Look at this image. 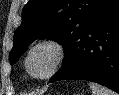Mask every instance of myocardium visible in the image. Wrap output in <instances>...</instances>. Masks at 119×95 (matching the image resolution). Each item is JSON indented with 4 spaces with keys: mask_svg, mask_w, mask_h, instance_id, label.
<instances>
[{
    "mask_svg": "<svg viewBox=\"0 0 119 95\" xmlns=\"http://www.w3.org/2000/svg\"><path fill=\"white\" fill-rule=\"evenodd\" d=\"M40 47H50L55 52V59L50 70L43 75H35L29 69V58L31 54ZM67 56V48L63 42L55 38H44L33 43L26 52L24 58V67L26 72L35 79L45 80L51 78L62 66Z\"/></svg>",
    "mask_w": 119,
    "mask_h": 95,
    "instance_id": "obj_1",
    "label": "myocardium"
}]
</instances>
